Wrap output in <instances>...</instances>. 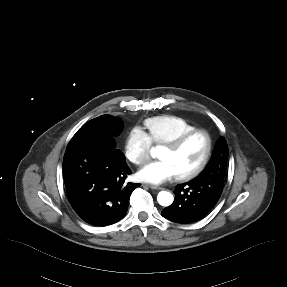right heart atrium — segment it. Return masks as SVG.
<instances>
[{"label": "right heart atrium", "instance_id": "1", "mask_svg": "<svg viewBox=\"0 0 287 287\" xmlns=\"http://www.w3.org/2000/svg\"><path fill=\"white\" fill-rule=\"evenodd\" d=\"M151 141L140 128L131 129L124 142V154L128 161L141 166L150 158Z\"/></svg>", "mask_w": 287, "mask_h": 287}]
</instances>
